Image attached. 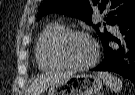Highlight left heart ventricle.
Returning <instances> with one entry per match:
<instances>
[{"instance_id": "1", "label": "left heart ventricle", "mask_w": 135, "mask_h": 95, "mask_svg": "<svg viewBox=\"0 0 135 95\" xmlns=\"http://www.w3.org/2000/svg\"><path fill=\"white\" fill-rule=\"evenodd\" d=\"M93 47L90 41L82 37H72L62 46L61 55L64 60L73 65H82L93 57Z\"/></svg>"}]
</instances>
